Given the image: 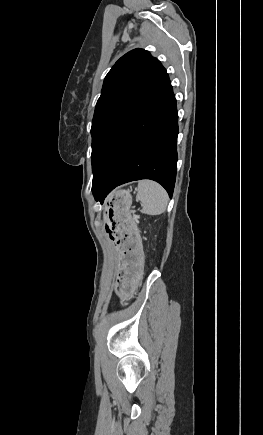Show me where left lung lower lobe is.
<instances>
[{"instance_id": "0a47b994", "label": "left lung lower lobe", "mask_w": 263, "mask_h": 435, "mask_svg": "<svg viewBox=\"0 0 263 435\" xmlns=\"http://www.w3.org/2000/svg\"><path fill=\"white\" fill-rule=\"evenodd\" d=\"M178 115L169 83L126 127L93 178L101 204L118 185L140 179L160 183L172 197L177 165Z\"/></svg>"}]
</instances>
